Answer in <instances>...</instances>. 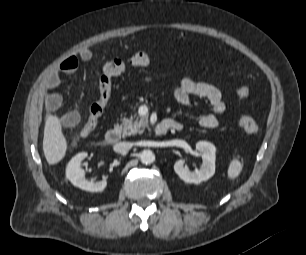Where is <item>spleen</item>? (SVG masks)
<instances>
[{
  "label": "spleen",
  "mask_w": 306,
  "mask_h": 255,
  "mask_svg": "<svg viewBox=\"0 0 306 255\" xmlns=\"http://www.w3.org/2000/svg\"><path fill=\"white\" fill-rule=\"evenodd\" d=\"M240 171H241L240 161L237 159H233L229 164L228 177L230 179H234L239 175Z\"/></svg>",
  "instance_id": "obj_1"
}]
</instances>
